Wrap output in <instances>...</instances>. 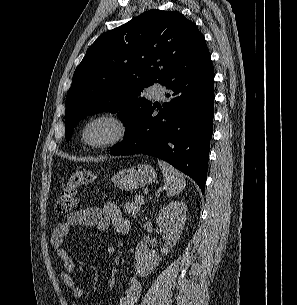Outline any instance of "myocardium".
Masks as SVG:
<instances>
[{"mask_svg": "<svg viewBox=\"0 0 297 305\" xmlns=\"http://www.w3.org/2000/svg\"><path fill=\"white\" fill-rule=\"evenodd\" d=\"M100 122L109 123L113 127V134L101 141H92L88 138V129ZM128 124L124 117L114 112H102L85 119L79 127V139L82 145L88 149H105L121 143L128 135Z\"/></svg>", "mask_w": 297, "mask_h": 305, "instance_id": "obj_1", "label": "myocardium"}]
</instances>
